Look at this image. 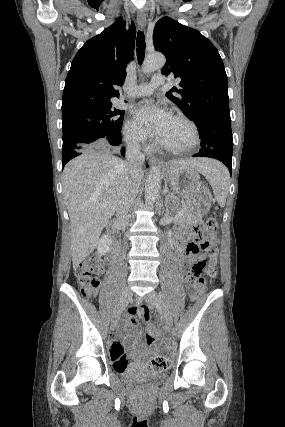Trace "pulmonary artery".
<instances>
[{
	"instance_id": "pulmonary-artery-1",
	"label": "pulmonary artery",
	"mask_w": 285,
	"mask_h": 427,
	"mask_svg": "<svg viewBox=\"0 0 285 427\" xmlns=\"http://www.w3.org/2000/svg\"><path fill=\"white\" fill-rule=\"evenodd\" d=\"M165 83V77L162 75H154L148 83L138 85L129 95L131 97H143L151 95L155 89Z\"/></svg>"
}]
</instances>
